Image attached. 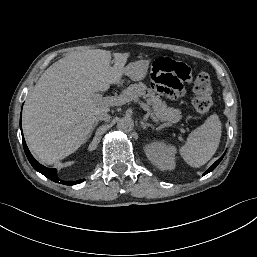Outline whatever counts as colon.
Here are the masks:
<instances>
[{"label":"colon","instance_id":"1","mask_svg":"<svg viewBox=\"0 0 257 257\" xmlns=\"http://www.w3.org/2000/svg\"><path fill=\"white\" fill-rule=\"evenodd\" d=\"M194 93V109L198 114L206 115L212 106V83L207 73L201 72L197 75L194 81Z\"/></svg>","mask_w":257,"mask_h":257}]
</instances>
